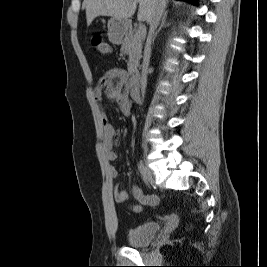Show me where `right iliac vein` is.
<instances>
[{"instance_id":"63e3f726","label":"right iliac vein","mask_w":267,"mask_h":267,"mask_svg":"<svg viewBox=\"0 0 267 267\" xmlns=\"http://www.w3.org/2000/svg\"><path fill=\"white\" fill-rule=\"evenodd\" d=\"M144 170H145L146 175L149 178V180H152L153 179L152 171L148 167H146V166H144Z\"/></svg>"}]
</instances>
